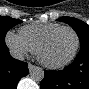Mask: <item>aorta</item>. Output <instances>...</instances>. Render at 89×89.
<instances>
[{"label": "aorta", "instance_id": "obj_1", "mask_svg": "<svg viewBox=\"0 0 89 89\" xmlns=\"http://www.w3.org/2000/svg\"><path fill=\"white\" fill-rule=\"evenodd\" d=\"M30 77L33 81L41 82L44 78L43 69L38 66H33L30 70Z\"/></svg>", "mask_w": 89, "mask_h": 89}]
</instances>
